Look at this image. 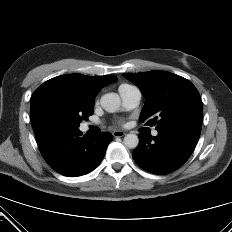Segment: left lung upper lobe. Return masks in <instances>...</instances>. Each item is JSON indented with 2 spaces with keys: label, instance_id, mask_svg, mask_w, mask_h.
<instances>
[{
  "label": "left lung upper lobe",
  "instance_id": "1",
  "mask_svg": "<svg viewBox=\"0 0 232 232\" xmlns=\"http://www.w3.org/2000/svg\"><path fill=\"white\" fill-rule=\"evenodd\" d=\"M123 76L136 84L147 100L140 122L157 124L156 129L180 122L202 123L201 97L189 80L161 70Z\"/></svg>",
  "mask_w": 232,
  "mask_h": 232
}]
</instances>
